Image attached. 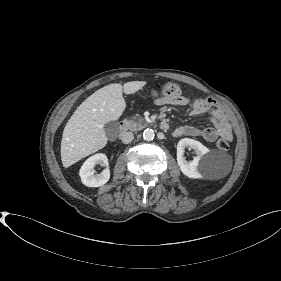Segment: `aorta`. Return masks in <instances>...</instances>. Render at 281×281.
Segmentation results:
<instances>
[{
	"label": "aorta",
	"mask_w": 281,
	"mask_h": 281,
	"mask_svg": "<svg viewBox=\"0 0 281 281\" xmlns=\"http://www.w3.org/2000/svg\"><path fill=\"white\" fill-rule=\"evenodd\" d=\"M155 133L153 131V129H145L143 132V138L146 141H152L154 139Z\"/></svg>",
	"instance_id": "762f6f07"
}]
</instances>
